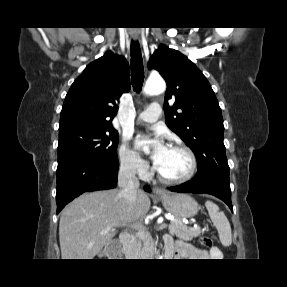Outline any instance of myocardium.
I'll list each match as a JSON object with an SVG mask.
<instances>
[{
    "label": "myocardium",
    "mask_w": 287,
    "mask_h": 287,
    "mask_svg": "<svg viewBox=\"0 0 287 287\" xmlns=\"http://www.w3.org/2000/svg\"><path fill=\"white\" fill-rule=\"evenodd\" d=\"M169 148L179 149V150L184 151L189 157L190 168L185 175H183L179 178H168V177L164 176L158 170L157 167H155V171L157 173L159 180L166 183V184H182V183L188 182L189 180H191L194 177V175L196 174L197 169H198V158H197L195 152L189 146H187L186 144H183V143H173L169 146Z\"/></svg>",
    "instance_id": "f54148a6"
}]
</instances>
